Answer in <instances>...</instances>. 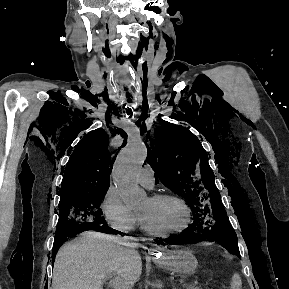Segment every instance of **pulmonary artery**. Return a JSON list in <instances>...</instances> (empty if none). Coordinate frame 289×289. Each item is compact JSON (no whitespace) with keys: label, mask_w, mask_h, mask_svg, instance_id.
<instances>
[{"label":"pulmonary artery","mask_w":289,"mask_h":289,"mask_svg":"<svg viewBox=\"0 0 289 289\" xmlns=\"http://www.w3.org/2000/svg\"><path fill=\"white\" fill-rule=\"evenodd\" d=\"M138 182L148 189H151L154 186V172L149 166H145L141 169L138 174Z\"/></svg>","instance_id":"1"}]
</instances>
